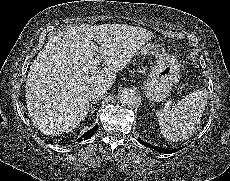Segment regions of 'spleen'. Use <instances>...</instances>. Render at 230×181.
Here are the masks:
<instances>
[{
    "mask_svg": "<svg viewBox=\"0 0 230 181\" xmlns=\"http://www.w3.org/2000/svg\"><path fill=\"white\" fill-rule=\"evenodd\" d=\"M205 105V93L198 90L186 95L172 108L157 111L163 136L172 141L188 139L196 130Z\"/></svg>",
    "mask_w": 230,
    "mask_h": 181,
    "instance_id": "spleen-1",
    "label": "spleen"
}]
</instances>
